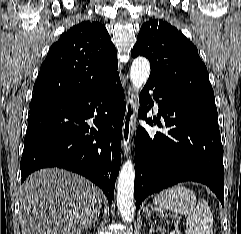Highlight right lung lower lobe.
<instances>
[{"instance_id": "98d812e1", "label": "right lung lower lobe", "mask_w": 241, "mask_h": 234, "mask_svg": "<svg viewBox=\"0 0 241 234\" xmlns=\"http://www.w3.org/2000/svg\"><path fill=\"white\" fill-rule=\"evenodd\" d=\"M125 110L119 75L89 93L30 106L21 182L41 168H65L94 182L111 202L121 163ZM90 117H95L94 127Z\"/></svg>"}]
</instances>
